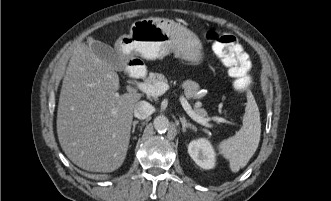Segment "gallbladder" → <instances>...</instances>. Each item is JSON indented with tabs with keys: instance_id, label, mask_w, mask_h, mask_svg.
Instances as JSON below:
<instances>
[{
	"instance_id": "bac80fb5",
	"label": "gallbladder",
	"mask_w": 331,
	"mask_h": 201,
	"mask_svg": "<svg viewBox=\"0 0 331 201\" xmlns=\"http://www.w3.org/2000/svg\"><path fill=\"white\" fill-rule=\"evenodd\" d=\"M89 43L98 58L110 64L117 71L125 69L126 65L122 58L111 46L97 40L89 41Z\"/></svg>"
}]
</instances>
